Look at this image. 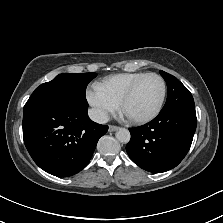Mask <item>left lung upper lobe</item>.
Instances as JSON below:
<instances>
[{
  "instance_id": "1",
  "label": "left lung upper lobe",
  "mask_w": 223,
  "mask_h": 223,
  "mask_svg": "<svg viewBox=\"0 0 223 223\" xmlns=\"http://www.w3.org/2000/svg\"><path fill=\"white\" fill-rule=\"evenodd\" d=\"M168 87L167 101L161 112L173 109H195V104L188 89L173 75L160 70Z\"/></svg>"
}]
</instances>
